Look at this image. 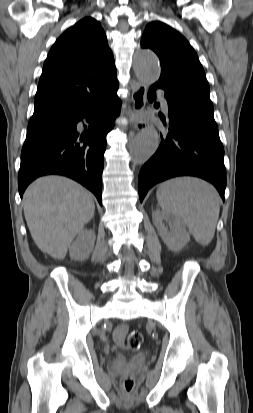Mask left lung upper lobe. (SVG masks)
Returning <instances> with one entry per match:
<instances>
[{"label": "left lung upper lobe", "mask_w": 253, "mask_h": 413, "mask_svg": "<svg viewBox=\"0 0 253 413\" xmlns=\"http://www.w3.org/2000/svg\"><path fill=\"white\" fill-rule=\"evenodd\" d=\"M141 47L159 57L161 76L156 85L194 96L212 105L209 84L198 56L189 42L170 26L155 21L146 26Z\"/></svg>", "instance_id": "5c2ea615"}]
</instances>
